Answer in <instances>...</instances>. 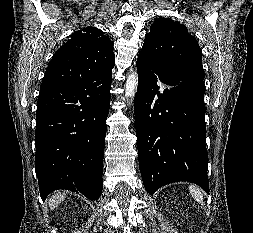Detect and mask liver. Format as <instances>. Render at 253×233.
I'll use <instances>...</instances> for the list:
<instances>
[{
	"label": "liver",
	"instance_id": "1",
	"mask_svg": "<svg viewBox=\"0 0 253 233\" xmlns=\"http://www.w3.org/2000/svg\"><path fill=\"white\" fill-rule=\"evenodd\" d=\"M66 194L64 192H56L53 194L50 199L48 200V205L51 210L56 208L61 201L64 200Z\"/></svg>",
	"mask_w": 253,
	"mask_h": 233
}]
</instances>
